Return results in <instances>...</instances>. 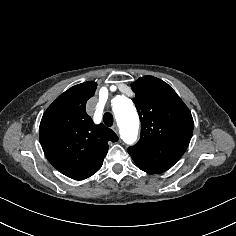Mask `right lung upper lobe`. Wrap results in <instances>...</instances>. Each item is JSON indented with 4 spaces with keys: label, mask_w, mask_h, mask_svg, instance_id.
I'll use <instances>...</instances> for the list:
<instances>
[{
    "label": "right lung upper lobe",
    "mask_w": 236,
    "mask_h": 236,
    "mask_svg": "<svg viewBox=\"0 0 236 236\" xmlns=\"http://www.w3.org/2000/svg\"><path fill=\"white\" fill-rule=\"evenodd\" d=\"M96 87L93 81L71 87L48 107L40 123L39 138L46 157L75 180L95 174L107 154L108 141L118 140L111 129L95 125L86 114V102Z\"/></svg>",
    "instance_id": "cb5924a9"
}]
</instances>
